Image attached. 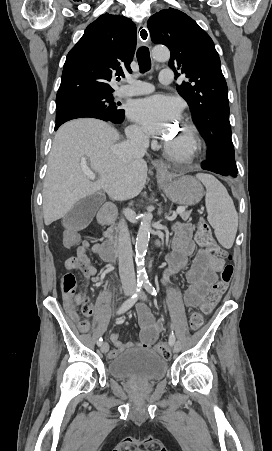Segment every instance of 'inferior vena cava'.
I'll list each match as a JSON object with an SVG mask.
<instances>
[{
  "label": "inferior vena cava",
  "instance_id": "obj_1",
  "mask_svg": "<svg viewBox=\"0 0 272 451\" xmlns=\"http://www.w3.org/2000/svg\"><path fill=\"white\" fill-rule=\"evenodd\" d=\"M127 138L128 142H122L118 146V156L123 164H128L133 158H143L149 148V138L141 130H133ZM132 253L128 227L125 220H121L118 237L119 275L125 287L136 285Z\"/></svg>",
  "mask_w": 272,
  "mask_h": 451
}]
</instances>
